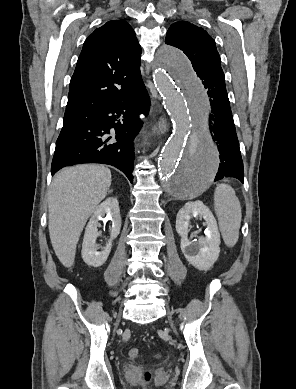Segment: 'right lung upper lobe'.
<instances>
[{
    "mask_svg": "<svg viewBox=\"0 0 296 389\" xmlns=\"http://www.w3.org/2000/svg\"><path fill=\"white\" fill-rule=\"evenodd\" d=\"M141 47L132 27L111 20L84 42L70 81L64 120H76L119 101L140 75Z\"/></svg>",
    "mask_w": 296,
    "mask_h": 389,
    "instance_id": "1",
    "label": "right lung upper lobe"
}]
</instances>
